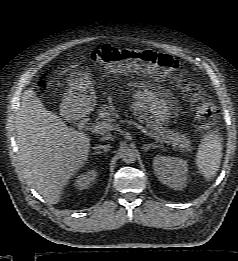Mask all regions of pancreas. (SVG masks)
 Masks as SVG:
<instances>
[{"mask_svg": "<svg viewBox=\"0 0 238 261\" xmlns=\"http://www.w3.org/2000/svg\"><path fill=\"white\" fill-rule=\"evenodd\" d=\"M98 119L105 122H115L119 119V114L113 103L108 105L103 104L98 109ZM139 122L146 123L147 128L154 134V136L165 143L171 144L175 150L182 153L191 152L193 147L190 140L185 134L175 132L163 126L159 121L153 120L147 115H141L138 118Z\"/></svg>", "mask_w": 238, "mask_h": 261, "instance_id": "1", "label": "pancreas"}]
</instances>
